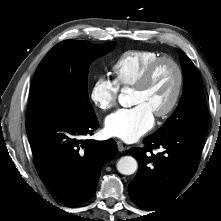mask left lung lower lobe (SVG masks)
<instances>
[{"mask_svg": "<svg viewBox=\"0 0 221 221\" xmlns=\"http://www.w3.org/2000/svg\"><path fill=\"white\" fill-rule=\"evenodd\" d=\"M203 136L189 133L162 137L149 135L145 147H133L130 153L139 169L129 184L131 200L140 208L158 209L173 201L194 176L200 161ZM165 151L154 155L152 148ZM151 154H150V153Z\"/></svg>", "mask_w": 221, "mask_h": 221, "instance_id": "left-lung-lower-lobe-1", "label": "left lung lower lobe"}]
</instances>
